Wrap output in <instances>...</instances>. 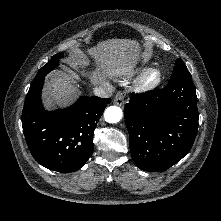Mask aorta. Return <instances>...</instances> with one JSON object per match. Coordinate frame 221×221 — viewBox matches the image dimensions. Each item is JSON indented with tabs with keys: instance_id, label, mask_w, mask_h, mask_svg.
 I'll list each match as a JSON object with an SVG mask.
<instances>
[{
	"instance_id": "aorta-1",
	"label": "aorta",
	"mask_w": 221,
	"mask_h": 221,
	"mask_svg": "<svg viewBox=\"0 0 221 221\" xmlns=\"http://www.w3.org/2000/svg\"><path fill=\"white\" fill-rule=\"evenodd\" d=\"M123 112L118 106H110L104 112V119L108 123H117L122 119Z\"/></svg>"
}]
</instances>
